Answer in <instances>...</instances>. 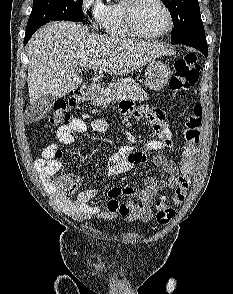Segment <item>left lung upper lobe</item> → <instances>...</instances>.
Here are the masks:
<instances>
[{"instance_id": "5c2ea615", "label": "left lung upper lobe", "mask_w": 233, "mask_h": 294, "mask_svg": "<svg viewBox=\"0 0 233 294\" xmlns=\"http://www.w3.org/2000/svg\"><path fill=\"white\" fill-rule=\"evenodd\" d=\"M174 23L171 42L206 41L198 0H162Z\"/></svg>"}]
</instances>
